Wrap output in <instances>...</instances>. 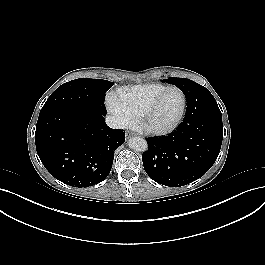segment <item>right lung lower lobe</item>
<instances>
[{
  "instance_id": "98d812e1",
  "label": "right lung lower lobe",
  "mask_w": 265,
  "mask_h": 265,
  "mask_svg": "<svg viewBox=\"0 0 265 265\" xmlns=\"http://www.w3.org/2000/svg\"><path fill=\"white\" fill-rule=\"evenodd\" d=\"M105 115L72 107L41 109L35 144L52 176L73 187L93 186L108 176L125 132L107 126Z\"/></svg>"
}]
</instances>
